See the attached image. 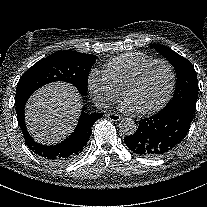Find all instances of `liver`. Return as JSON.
<instances>
[{
	"instance_id": "obj_1",
	"label": "liver",
	"mask_w": 207,
	"mask_h": 207,
	"mask_svg": "<svg viewBox=\"0 0 207 207\" xmlns=\"http://www.w3.org/2000/svg\"><path fill=\"white\" fill-rule=\"evenodd\" d=\"M81 108V95L73 85L60 81L46 84L26 103L27 130L38 143H60L76 128Z\"/></svg>"
}]
</instances>
